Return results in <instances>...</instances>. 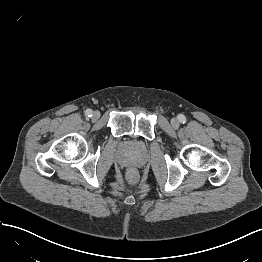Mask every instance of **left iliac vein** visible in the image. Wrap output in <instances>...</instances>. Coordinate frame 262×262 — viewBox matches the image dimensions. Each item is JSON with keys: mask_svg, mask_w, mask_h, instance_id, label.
I'll list each match as a JSON object with an SVG mask.
<instances>
[{"mask_svg": "<svg viewBox=\"0 0 262 262\" xmlns=\"http://www.w3.org/2000/svg\"><path fill=\"white\" fill-rule=\"evenodd\" d=\"M171 124H172V126L174 127V128H178L179 127V121L176 119V118H173L172 120H171Z\"/></svg>", "mask_w": 262, "mask_h": 262, "instance_id": "obj_1", "label": "left iliac vein"}]
</instances>
